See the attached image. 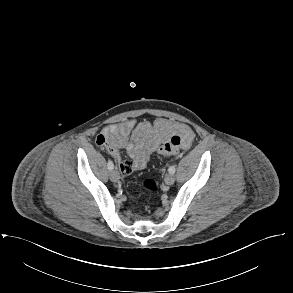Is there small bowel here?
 Instances as JSON below:
<instances>
[{
  "instance_id": "1",
  "label": "small bowel",
  "mask_w": 293,
  "mask_h": 293,
  "mask_svg": "<svg viewBox=\"0 0 293 293\" xmlns=\"http://www.w3.org/2000/svg\"><path fill=\"white\" fill-rule=\"evenodd\" d=\"M172 135H179L182 148H189L194 132L186 124L158 118L154 122L127 119L106 126L96 137V144L104 149L118 164L123 175L143 169L158 146ZM124 151L129 160L122 156Z\"/></svg>"
}]
</instances>
